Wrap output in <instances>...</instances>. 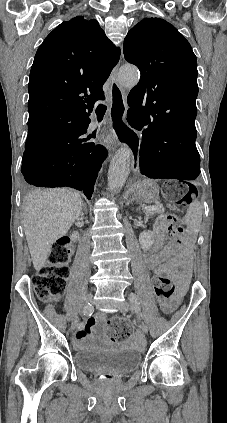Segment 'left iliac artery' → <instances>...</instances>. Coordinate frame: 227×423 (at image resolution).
Here are the masks:
<instances>
[{"label": "left iliac artery", "instance_id": "obj_1", "mask_svg": "<svg viewBox=\"0 0 227 423\" xmlns=\"http://www.w3.org/2000/svg\"><path fill=\"white\" fill-rule=\"evenodd\" d=\"M129 300L132 303V310H134L139 315V317L142 318L143 316L141 313L140 303H139L137 295L134 293H130ZM134 305H136V307H134Z\"/></svg>", "mask_w": 227, "mask_h": 423}]
</instances>
